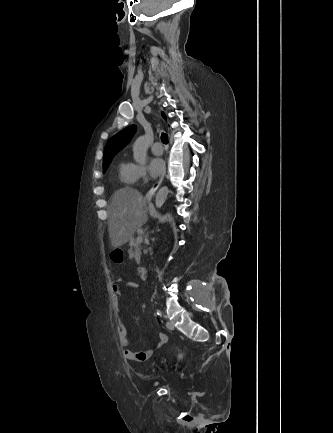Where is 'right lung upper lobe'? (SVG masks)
Masks as SVG:
<instances>
[{
  "label": "right lung upper lobe",
  "instance_id": "right-lung-upper-lobe-1",
  "mask_svg": "<svg viewBox=\"0 0 333 433\" xmlns=\"http://www.w3.org/2000/svg\"><path fill=\"white\" fill-rule=\"evenodd\" d=\"M162 115L164 118H166L164 113H162ZM136 130L137 127L135 125H131L118 132L109 140L104 152L103 165L111 163L113 157L131 141Z\"/></svg>",
  "mask_w": 333,
  "mask_h": 433
}]
</instances>
